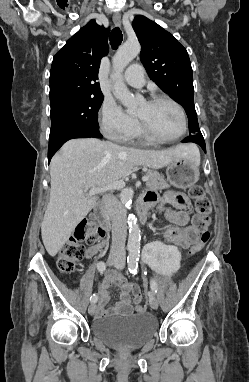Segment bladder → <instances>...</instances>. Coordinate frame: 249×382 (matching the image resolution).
Returning a JSON list of instances; mask_svg holds the SVG:
<instances>
[{
  "mask_svg": "<svg viewBox=\"0 0 249 382\" xmlns=\"http://www.w3.org/2000/svg\"><path fill=\"white\" fill-rule=\"evenodd\" d=\"M95 337L118 350L139 349L158 332L155 317L142 313L130 316L112 315L96 319L92 325Z\"/></svg>",
  "mask_w": 249,
  "mask_h": 382,
  "instance_id": "obj_1",
  "label": "bladder"
}]
</instances>
